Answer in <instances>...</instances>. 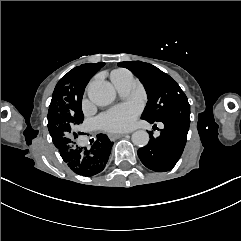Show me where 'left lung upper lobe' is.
Segmentation results:
<instances>
[{"instance_id": "1", "label": "left lung upper lobe", "mask_w": 241, "mask_h": 241, "mask_svg": "<svg viewBox=\"0 0 241 241\" xmlns=\"http://www.w3.org/2000/svg\"><path fill=\"white\" fill-rule=\"evenodd\" d=\"M118 65L129 69L145 87L148 102L141 119L158 122L190 109L188 99L179 85L157 67L142 61H125Z\"/></svg>"}]
</instances>
